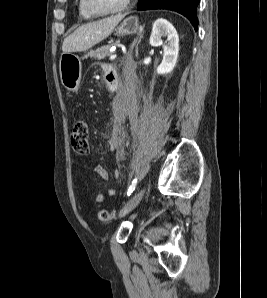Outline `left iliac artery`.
Returning <instances> with one entry per match:
<instances>
[{
  "label": "left iliac artery",
  "instance_id": "1",
  "mask_svg": "<svg viewBox=\"0 0 267 298\" xmlns=\"http://www.w3.org/2000/svg\"><path fill=\"white\" fill-rule=\"evenodd\" d=\"M136 184H137V178H135L132 181V184L130 185V187L128 189L127 196H130L133 193V191L135 190Z\"/></svg>",
  "mask_w": 267,
  "mask_h": 298
}]
</instances>
